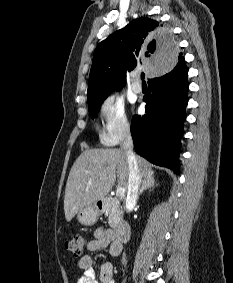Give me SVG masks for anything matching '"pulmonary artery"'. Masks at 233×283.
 <instances>
[{"label":"pulmonary artery","instance_id":"pulmonary-artery-1","mask_svg":"<svg viewBox=\"0 0 233 283\" xmlns=\"http://www.w3.org/2000/svg\"><path fill=\"white\" fill-rule=\"evenodd\" d=\"M133 77H134L136 80L138 79V75H137V74H134ZM132 91H133L134 93H141L142 87H141V85H140L137 81H135V82L132 84Z\"/></svg>","mask_w":233,"mask_h":283}]
</instances>
